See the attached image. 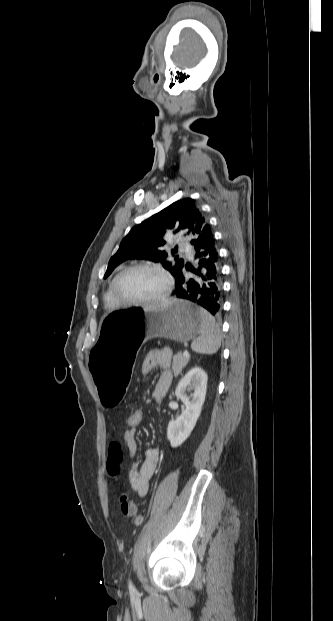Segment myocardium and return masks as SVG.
Masks as SVG:
<instances>
[{"label":"myocardium","instance_id":"1","mask_svg":"<svg viewBox=\"0 0 333 621\" xmlns=\"http://www.w3.org/2000/svg\"><path fill=\"white\" fill-rule=\"evenodd\" d=\"M135 270H152L157 272L158 274H160L165 283H166V288L165 291L163 292L162 295H160L157 298L154 299H148V300H128L123 298L118 291V285L120 280L122 279L123 276H125L127 273L131 272V271H135ZM111 289H112V293L113 296L116 300V302L118 303V305L120 306H146V305H157V304H161L163 302H165L173 289V281L171 276L169 275V273L166 271L165 268H163L160 264L157 263H147V262H141V263H136L133 265H130L126 268H124L122 271H120L115 278L112 281V285H111Z\"/></svg>","mask_w":333,"mask_h":621}]
</instances>
